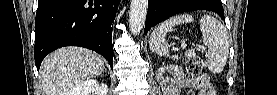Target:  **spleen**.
<instances>
[{
    "label": "spleen",
    "instance_id": "spleen-1",
    "mask_svg": "<svg viewBox=\"0 0 277 95\" xmlns=\"http://www.w3.org/2000/svg\"><path fill=\"white\" fill-rule=\"evenodd\" d=\"M194 22L190 14H181L169 18L159 24L152 32L149 40L150 50L158 55H168L169 46L165 35L173 27ZM202 43L208 47L207 67L210 72L219 74L223 71L229 55V36L226 28L216 18L205 15L200 20Z\"/></svg>",
    "mask_w": 277,
    "mask_h": 95
}]
</instances>
